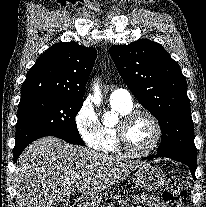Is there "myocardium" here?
<instances>
[{
    "instance_id": "obj_1",
    "label": "myocardium",
    "mask_w": 206,
    "mask_h": 207,
    "mask_svg": "<svg viewBox=\"0 0 206 207\" xmlns=\"http://www.w3.org/2000/svg\"><path fill=\"white\" fill-rule=\"evenodd\" d=\"M139 117H147L155 128V137L152 144L145 150L137 151L130 147L127 139V129L135 119ZM117 143L119 150L131 157H145L156 150L162 140L163 130L157 117L147 110H131L126 115H123L119 123L115 126Z\"/></svg>"
}]
</instances>
